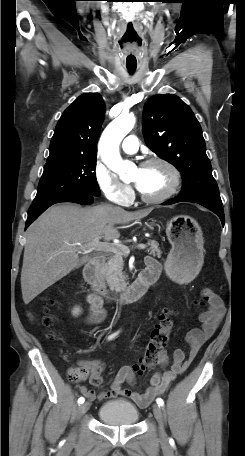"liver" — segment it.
I'll use <instances>...</instances> for the list:
<instances>
[{
    "instance_id": "1",
    "label": "liver",
    "mask_w": 245,
    "mask_h": 456,
    "mask_svg": "<svg viewBox=\"0 0 245 456\" xmlns=\"http://www.w3.org/2000/svg\"><path fill=\"white\" fill-rule=\"evenodd\" d=\"M152 208L130 212L112 205L81 207L58 204L45 211L27 230L21 271L25 304L45 289L87 263L75 243L90 244L96 237L105 242L120 237L115 224H127L146 217Z\"/></svg>"
}]
</instances>
